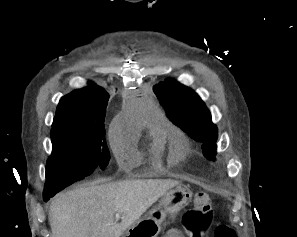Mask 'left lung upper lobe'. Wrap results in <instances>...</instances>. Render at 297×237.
Masks as SVG:
<instances>
[{"label": "left lung upper lobe", "instance_id": "obj_1", "mask_svg": "<svg viewBox=\"0 0 297 237\" xmlns=\"http://www.w3.org/2000/svg\"><path fill=\"white\" fill-rule=\"evenodd\" d=\"M153 90L168 118L195 141L203 143V154L208 159H214L218 130L200 97L175 79H166L155 85Z\"/></svg>", "mask_w": 297, "mask_h": 237}]
</instances>
